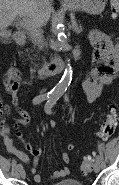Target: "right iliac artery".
I'll return each mask as SVG.
<instances>
[{
  "instance_id": "obj_1",
  "label": "right iliac artery",
  "mask_w": 119,
  "mask_h": 185,
  "mask_svg": "<svg viewBox=\"0 0 119 185\" xmlns=\"http://www.w3.org/2000/svg\"><path fill=\"white\" fill-rule=\"evenodd\" d=\"M55 97H58V94L52 93V92L47 93V94L38 95V96H36V97L33 99V104H34V105H37V104L43 102L44 100H47V99L49 100V99L55 98ZM16 168H17L18 170H20L21 168H23V166H22V164L19 163V164L16 166Z\"/></svg>"
}]
</instances>
